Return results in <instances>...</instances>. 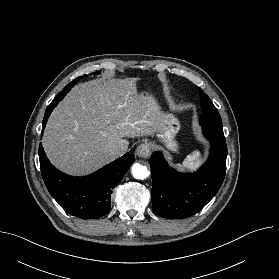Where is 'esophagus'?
Listing matches in <instances>:
<instances>
[{
    "instance_id": "obj_1",
    "label": "esophagus",
    "mask_w": 279,
    "mask_h": 279,
    "mask_svg": "<svg viewBox=\"0 0 279 279\" xmlns=\"http://www.w3.org/2000/svg\"><path fill=\"white\" fill-rule=\"evenodd\" d=\"M152 145L151 143L144 142L140 144L136 149V155L140 158H148L151 155Z\"/></svg>"
}]
</instances>
